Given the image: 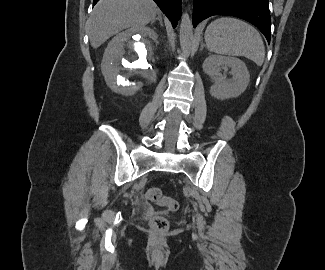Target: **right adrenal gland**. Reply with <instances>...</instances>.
I'll return each instance as SVG.
<instances>
[{"label":"right adrenal gland","mask_w":325,"mask_h":270,"mask_svg":"<svg viewBox=\"0 0 325 270\" xmlns=\"http://www.w3.org/2000/svg\"><path fill=\"white\" fill-rule=\"evenodd\" d=\"M156 20H158L160 22V25L161 26L163 25L162 17L160 15H158L154 20H152L151 21V24H153Z\"/></svg>","instance_id":"1"}]
</instances>
